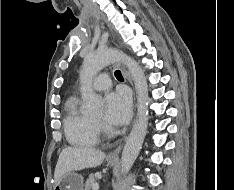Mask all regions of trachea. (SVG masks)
Segmentation results:
<instances>
[{
    "instance_id": "1",
    "label": "trachea",
    "mask_w": 234,
    "mask_h": 190,
    "mask_svg": "<svg viewBox=\"0 0 234 190\" xmlns=\"http://www.w3.org/2000/svg\"><path fill=\"white\" fill-rule=\"evenodd\" d=\"M115 77L118 80H123V76H122V74H121V72L119 70L115 71Z\"/></svg>"
}]
</instances>
